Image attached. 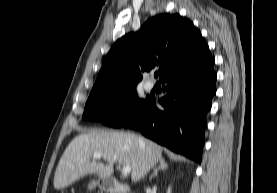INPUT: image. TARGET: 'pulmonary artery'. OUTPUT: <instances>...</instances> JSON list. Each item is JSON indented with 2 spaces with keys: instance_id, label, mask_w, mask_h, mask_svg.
<instances>
[{
  "instance_id": "obj_1",
  "label": "pulmonary artery",
  "mask_w": 277,
  "mask_h": 193,
  "mask_svg": "<svg viewBox=\"0 0 277 193\" xmlns=\"http://www.w3.org/2000/svg\"><path fill=\"white\" fill-rule=\"evenodd\" d=\"M155 84L152 80H148L146 83H145V89L150 91L154 88Z\"/></svg>"
}]
</instances>
